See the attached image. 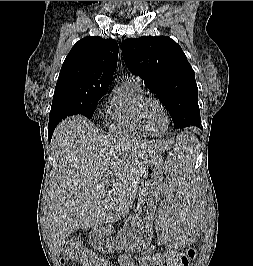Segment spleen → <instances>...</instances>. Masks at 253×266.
<instances>
[{
	"label": "spleen",
	"mask_w": 253,
	"mask_h": 266,
	"mask_svg": "<svg viewBox=\"0 0 253 266\" xmlns=\"http://www.w3.org/2000/svg\"><path fill=\"white\" fill-rule=\"evenodd\" d=\"M180 144H197V135H180ZM200 155L199 147H176L168 154L165 168L168 169L167 184L163 187L168 207L157 210V246L162 248H193L199 242L196 229L203 228L202 216L206 207H198L195 199H202V190L193 189L195 162Z\"/></svg>",
	"instance_id": "3e777b00"
}]
</instances>
